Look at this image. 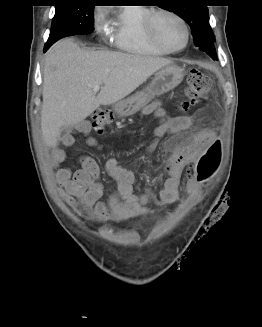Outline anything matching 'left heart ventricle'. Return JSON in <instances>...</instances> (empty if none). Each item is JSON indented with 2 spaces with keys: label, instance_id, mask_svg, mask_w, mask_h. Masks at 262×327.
I'll list each match as a JSON object with an SVG mask.
<instances>
[{
  "label": "left heart ventricle",
  "instance_id": "1",
  "mask_svg": "<svg viewBox=\"0 0 262 327\" xmlns=\"http://www.w3.org/2000/svg\"><path fill=\"white\" fill-rule=\"evenodd\" d=\"M156 30L160 39L170 48H180L186 39L183 25L174 17L159 15L156 18Z\"/></svg>",
  "mask_w": 262,
  "mask_h": 327
}]
</instances>
